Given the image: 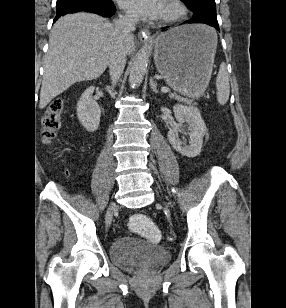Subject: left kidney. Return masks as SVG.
I'll return each instance as SVG.
<instances>
[{
    "label": "left kidney",
    "mask_w": 286,
    "mask_h": 308,
    "mask_svg": "<svg viewBox=\"0 0 286 308\" xmlns=\"http://www.w3.org/2000/svg\"><path fill=\"white\" fill-rule=\"evenodd\" d=\"M173 112L179 126L184 122L188 125L189 145L178 138L177 129H171L167 134L170 144L182 155L196 157L201 152L203 137L207 130L199 109L193 106L177 104L174 105Z\"/></svg>",
    "instance_id": "obj_1"
}]
</instances>
